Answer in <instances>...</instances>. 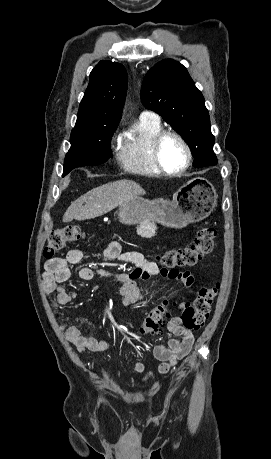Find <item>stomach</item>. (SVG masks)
Segmentation results:
<instances>
[{
    "mask_svg": "<svg viewBox=\"0 0 271 459\" xmlns=\"http://www.w3.org/2000/svg\"><path fill=\"white\" fill-rule=\"evenodd\" d=\"M216 202L214 186L205 178H194L175 192L171 202L133 198L119 206L118 216L120 222L128 226L154 220L166 228H185L188 224L208 218Z\"/></svg>",
    "mask_w": 271,
    "mask_h": 459,
    "instance_id": "0dacf381",
    "label": "stomach"
}]
</instances>
